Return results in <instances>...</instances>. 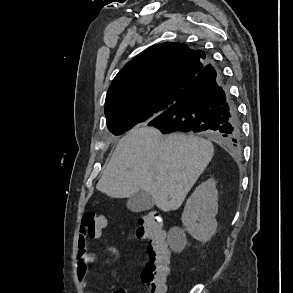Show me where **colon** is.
<instances>
[{
  "label": "colon",
  "instance_id": "obj_1",
  "mask_svg": "<svg viewBox=\"0 0 293 293\" xmlns=\"http://www.w3.org/2000/svg\"><path fill=\"white\" fill-rule=\"evenodd\" d=\"M162 215L151 211L138 218L136 235L148 241V259L142 269L141 278L147 293H165L170 272L169 250L162 229ZM106 227V218L93 211L85 212L82 229L86 236L98 238Z\"/></svg>",
  "mask_w": 293,
  "mask_h": 293
}]
</instances>
